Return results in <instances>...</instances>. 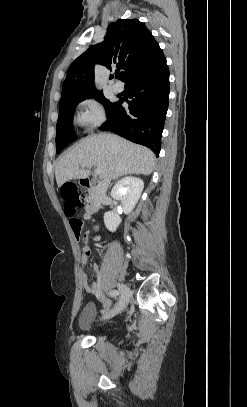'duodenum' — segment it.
I'll return each mask as SVG.
<instances>
[{
	"label": "duodenum",
	"instance_id": "1",
	"mask_svg": "<svg viewBox=\"0 0 247 407\" xmlns=\"http://www.w3.org/2000/svg\"><path fill=\"white\" fill-rule=\"evenodd\" d=\"M80 184L90 195V200L85 208V216L90 218L99 212L103 195L98 191L95 181L90 178H81Z\"/></svg>",
	"mask_w": 247,
	"mask_h": 407
}]
</instances>
